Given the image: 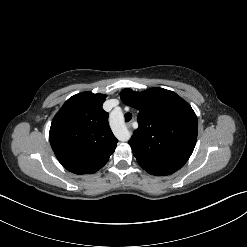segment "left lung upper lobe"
<instances>
[{
    "label": "left lung upper lobe",
    "instance_id": "5c2ea615",
    "mask_svg": "<svg viewBox=\"0 0 247 247\" xmlns=\"http://www.w3.org/2000/svg\"><path fill=\"white\" fill-rule=\"evenodd\" d=\"M126 105L139 110V127L129 145L139 165L154 175H170L191 156L198 133L197 116L175 92L151 88L143 92L124 89Z\"/></svg>",
    "mask_w": 247,
    "mask_h": 247
}]
</instances>
